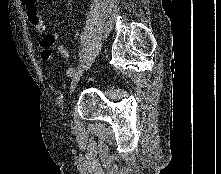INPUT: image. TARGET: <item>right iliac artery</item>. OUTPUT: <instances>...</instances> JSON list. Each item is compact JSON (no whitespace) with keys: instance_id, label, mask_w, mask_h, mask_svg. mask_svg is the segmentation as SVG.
Wrapping results in <instances>:
<instances>
[{"instance_id":"obj_1","label":"right iliac artery","mask_w":221,"mask_h":174,"mask_svg":"<svg viewBox=\"0 0 221 174\" xmlns=\"http://www.w3.org/2000/svg\"><path fill=\"white\" fill-rule=\"evenodd\" d=\"M74 72H75V70H74L73 68H69V69L67 70V76L72 77L73 74H74Z\"/></svg>"}]
</instances>
